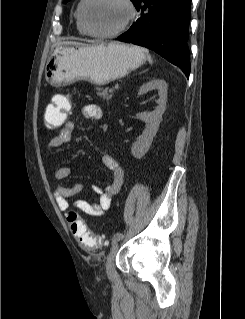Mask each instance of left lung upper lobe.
<instances>
[{"instance_id":"5c2ea615","label":"left lung upper lobe","mask_w":245,"mask_h":319,"mask_svg":"<svg viewBox=\"0 0 245 319\" xmlns=\"http://www.w3.org/2000/svg\"><path fill=\"white\" fill-rule=\"evenodd\" d=\"M69 0H64V3H67ZM133 2V4L135 5L137 3L138 0H131Z\"/></svg>"}]
</instances>
